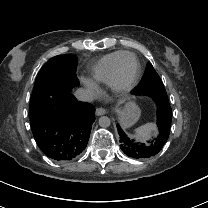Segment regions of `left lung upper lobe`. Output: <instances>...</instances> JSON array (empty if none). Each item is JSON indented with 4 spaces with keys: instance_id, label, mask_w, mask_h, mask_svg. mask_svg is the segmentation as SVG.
I'll return each mask as SVG.
<instances>
[{
    "instance_id": "5c2ea615",
    "label": "left lung upper lobe",
    "mask_w": 208,
    "mask_h": 208,
    "mask_svg": "<svg viewBox=\"0 0 208 208\" xmlns=\"http://www.w3.org/2000/svg\"><path fill=\"white\" fill-rule=\"evenodd\" d=\"M134 94L147 95L152 98L169 102L165 87L152 64L148 65L147 72L138 86L133 90Z\"/></svg>"
}]
</instances>
